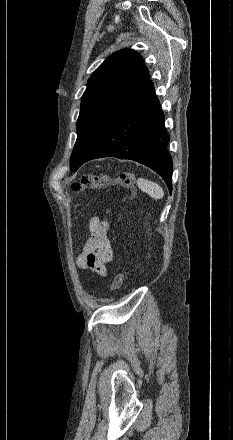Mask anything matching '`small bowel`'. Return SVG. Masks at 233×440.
<instances>
[{
    "mask_svg": "<svg viewBox=\"0 0 233 440\" xmlns=\"http://www.w3.org/2000/svg\"><path fill=\"white\" fill-rule=\"evenodd\" d=\"M107 215L108 211L104 218L92 217L90 219L89 237L84 244L83 252L77 258V265L80 269L98 275L107 273V265L113 259Z\"/></svg>",
    "mask_w": 233,
    "mask_h": 440,
    "instance_id": "1",
    "label": "small bowel"
}]
</instances>
